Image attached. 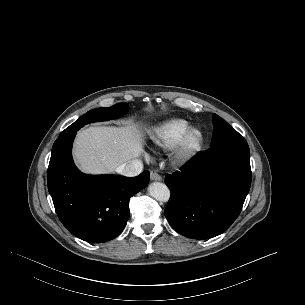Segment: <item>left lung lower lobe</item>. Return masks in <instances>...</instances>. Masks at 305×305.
<instances>
[{
  "mask_svg": "<svg viewBox=\"0 0 305 305\" xmlns=\"http://www.w3.org/2000/svg\"><path fill=\"white\" fill-rule=\"evenodd\" d=\"M169 224L194 239L215 237L238 217L251 185L250 152L200 151L181 171L168 175Z\"/></svg>",
  "mask_w": 305,
  "mask_h": 305,
  "instance_id": "left-lung-lower-lobe-1",
  "label": "left lung lower lobe"
}]
</instances>
